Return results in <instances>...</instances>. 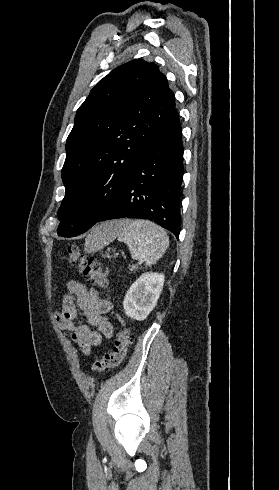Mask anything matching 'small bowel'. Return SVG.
Wrapping results in <instances>:
<instances>
[{
    "mask_svg": "<svg viewBox=\"0 0 279 490\" xmlns=\"http://www.w3.org/2000/svg\"><path fill=\"white\" fill-rule=\"evenodd\" d=\"M67 289L69 294L62 297L61 311L55 314L56 323L84 354H89L92 347L101 345L103 339L113 335V326L107 317L112 303L96 289H87L77 281H69ZM78 310L86 324L74 323Z\"/></svg>",
    "mask_w": 279,
    "mask_h": 490,
    "instance_id": "obj_1",
    "label": "small bowel"
}]
</instances>
